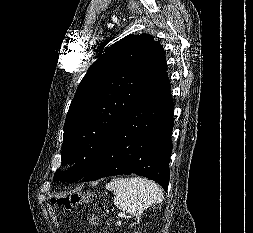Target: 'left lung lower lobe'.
<instances>
[{"mask_svg": "<svg viewBox=\"0 0 253 233\" xmlns=\"http://www.w3.org/2000/svg\"><path fill=\"white\" fill-rule=\"evenodd\" d=\"M173 110L166 70L120 121L82 181L134 173L158 182L167 191Z\"/></svg>", "mask_w": 253, "mask_h": 233, "instance_id": "0a47b994", "label": "left lung lower lobe"}]
</instances>
